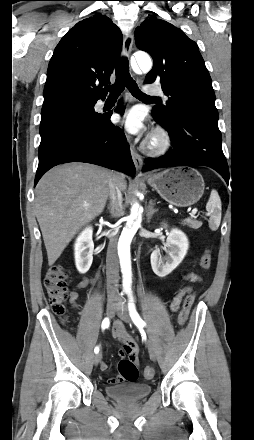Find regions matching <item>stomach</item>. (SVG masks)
Wrapping results in <instances>:
<instances>
[{
  "label": "stomach",
  "mask_w": 254,
  "mask_h": 440,
  "mask_svg": "<svg viewBox=\"0 0 254 440\" xmlns=\"http://www.w3.org/2000/svg\"><path fill=\"white\" fill-rule=\"evenodd\" d=\"M146 181L163 199L178 207L195 204L205 189L202 175L190 167L166 169L148 176Z\"/></svg>",
  "instance_id": "stomach-1"
}]
</instances>
